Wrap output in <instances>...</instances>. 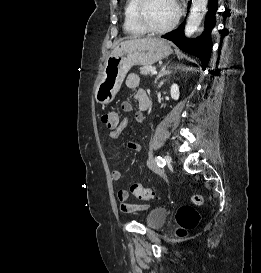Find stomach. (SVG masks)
Returning a JSON list of instances; mask_svg holds the SVG:
<instances>
[{
  "label": "stomach",
  "instance_id": "1",
  "mask_svg": "<svg viewBox=\"0 0 261 273\" xmlns=\"http://www.w3.org/2000/svg\"><path fill=\"white\" fill-rule=\"evenodd\" d=\"M170 53V45L155 37L120 43L105 61L103 76L95 88L96 101L102 105L112 102L132 66L152 65Z\"/></svg>",
  "mask_w": 261,
  "mask_h": 273
}]
</instances>
